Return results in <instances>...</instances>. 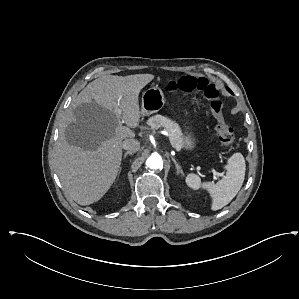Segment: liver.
<instances>
[{
  "label": "liver",
  "mask_w": 299,
  "mask_h": 299,
  "mask_svg": "<svg viewBox=\"0 0 299 299\" xmlns=\"http://www.w3.org/2000/svg\"><path fill=\"white\" fill-rule=\"evenodd\" d=\"M152 74L108 75L90 82L68 110L56 149V170L78 204L100 200L115 181L122 143L140 122L138 97ZM125 123L126 126H122Z\"/></svg>",
  "instance_id": "liver-1"
}]
</instances>
